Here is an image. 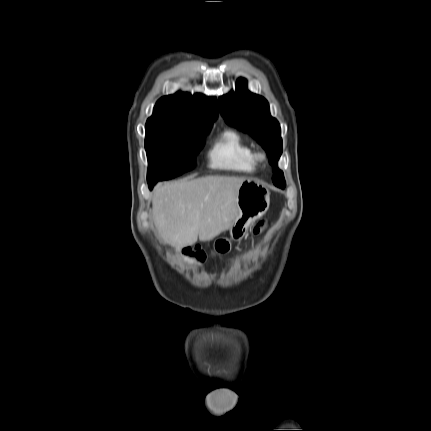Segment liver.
Instances as JSON below:
<instances>
[{
    "label": "liver",
    "mask_w": 431,
    "mask_h": 431,
    "mask_svg": "<svg viewBox=\"0 0 431 431\" xmlns=\"http://www.w3.org/2000/svg\"><path fill=\"white\" fill-rule=\"evenodd\" d=\"M245 178L212 175L168 182L153 191V219L159 236L184 247L210 241L237 216V193Z\"/></svg>",
    "instance_id": "liver-1"
}]
</instances>
